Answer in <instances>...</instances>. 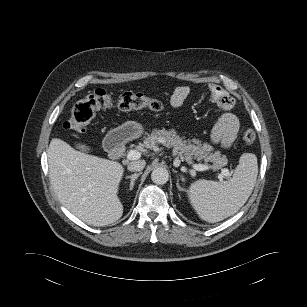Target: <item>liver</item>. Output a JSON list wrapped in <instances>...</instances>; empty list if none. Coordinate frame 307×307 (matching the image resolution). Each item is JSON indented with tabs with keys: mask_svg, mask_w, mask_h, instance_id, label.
<instances>
[{
	"mask_svg": "<svg viewBox=\"0 0 307 307\" xmlns=\"http://www.w3.org/2000/svg\"><path fill=\"white\" fill-rule=\"evenodd\" d=\"M47 156L54 192L73 215L98 227L121 218L118 188L124 168L119 162L76 151L60 139L51 140Z\"/></svg>",
	"mask_w": 307,
	"mask_h": 307,
	"instance_id": "1",
	"label": "liver"
}]
</instances>
